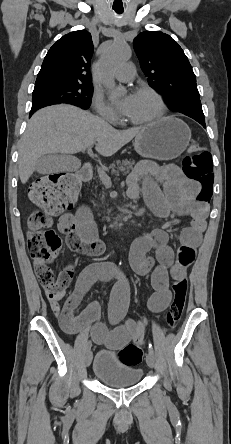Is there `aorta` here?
Segmentation results:
<instances>
[{
    "label": "aorta",
    "instance_id": "762f6f07",
    "mask_svg": "<svg viewBox=\"0 0 231 444\" xmlns=\"http://www.w3.org/2000/svg\"><path fill=\"white\" fill-rule=\"evenodd\" d=\"M131 55V49L126 42H114L111 47L104 53L100 59V70L104 76V85L110 90L113 98L122 96L125 89L116 86L113 79L109 77V73L115 68L126 62Z\"/></svg>",
    "mask_w": 231,
    "mask_h": 444
}]
</instances>
